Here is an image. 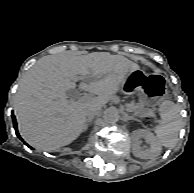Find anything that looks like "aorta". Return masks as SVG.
Returning a JSON list of instances; mask_svg holds the SVG:
<instances>
[{"label":"aorta","mask_w":194,"mask_h":193,"mask_svg":"<svg viewBox=\"0 0 194 193\" xmlns=\"http://www.w3.org/2000/svg\"><path fill=\"white\" fill-rule=\"evenodd\" d=\"M120 119V114L117 109L111 108L105 111L104 120L109 124H114Z\"/></svg>","instance_id":"obj_1"}]
</instances>
